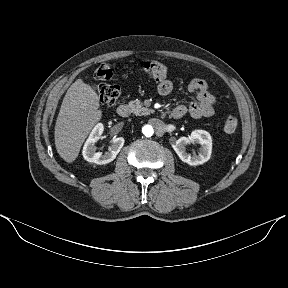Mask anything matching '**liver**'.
Segmentation results:
<instances>
[{"mask_svg":"<svg viewBox=\"0 0 288 288\" xmlns=\"http://www.w3.org/2000/svg\"><path fill=\"white\" fill-rule=\"evenodd\" d=\"M95 90L77 79L67 90L55 125V146L68 163L75 161L88 134L101 119Z\"/></svg>","mask_w":288,"mask_h":288,"instance_id":"6515ba94","label":"liver"}]
</instances>
